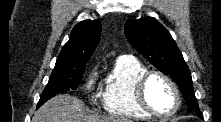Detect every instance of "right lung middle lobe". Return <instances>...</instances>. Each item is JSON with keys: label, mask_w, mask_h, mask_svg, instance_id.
<instances>
[{"label": "right lung middle lobe", "mask_w": 221, "mask_h": 122, "mask_svg": "<svg viewBox=\"0 0 221 122\" xmlns=\"http://www.w3.org/2000/svg\"><path fill=\"white\" fill-rule=\"evenodd\" d=\"M85 68L86 66L78 68L55 67L38 102V106H41L56 94L77 89Z\"/></svg>", "instance_id": "obj_1"}]
</instances>
